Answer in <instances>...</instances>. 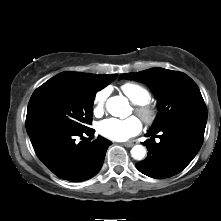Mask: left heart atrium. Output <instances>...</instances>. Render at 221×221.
<instances>
[{
  "label": "left heart atrium",
  "mask_w": 221,
  "mask_h": 221,
  "mask_svg": "<svg viewBox=\"0 0 221 221\" xmlns=\"http://www.w3.org/2000/svg\"><path fill=\"white\" fill-rule=\"evenodd\" d=\"M142 125L138 118H108L98 123L97 131L104 137L114 141H126L141 131Z\"/></svg>",
  "instance_id": "left-heart-atrium-1"
}]
</instances>
